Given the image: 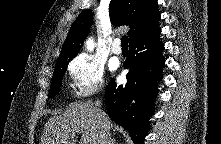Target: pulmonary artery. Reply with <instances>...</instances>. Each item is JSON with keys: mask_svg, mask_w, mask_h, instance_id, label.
Here are the masks:
<instances>
[{"mask_svg": "<svg viewBox=\"0 0 221 144\" xmlns=\"http://www.w3.org/2000/svg\"><path fill=\"white\" fill-rule=\"evenodd\" d=\"M111 51L112 53L116 54V55H119L122 53V49H121V46H120V40L119 39H115L112 43V46H111Z\"/></svg>", "mask_w": 221, "mask_h": 144, "instance_id": "e3ab8cb5", "label": "pulmonary artery"}]
</instances>
